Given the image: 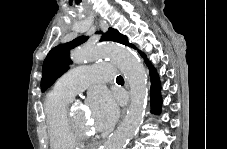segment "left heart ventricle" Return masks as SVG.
I'll return each instance as SVG.
<instances>
[{"mask_svg":"<svg viewBox=\"0 0 227 149\" xmlns=\"http://www.w3.org/2000/svg\"><path fill=\"white\" fill-rule=\"evenodd\" d=\"M72 117L76 121V123L82 127L84 130L89 131L90 125L88 124V119L86 117V113L83 109H75L72 112Z\"/></svg>","mask_w":227,"mask_h":149,"instance_id":"b2bd125f","label":"left heart ventricle"}]
</instances>
